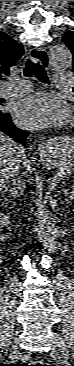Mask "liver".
<instances>
[{"instance_id":"obj_1","label":"liver","mask_w":74,"mask_h":366,"mask_svg":"<svg viewBox=\"0 0 74 366\" xmlns=\"http://www.w3.org/2000/svg\"><path fill=\"white\" fill-rule=\"evenodd\" d=\"M32 163L28 160L25 149L9 136L0 133V187L17 176L20 168L33 172Z\"/></svg>"}]
</instances>
